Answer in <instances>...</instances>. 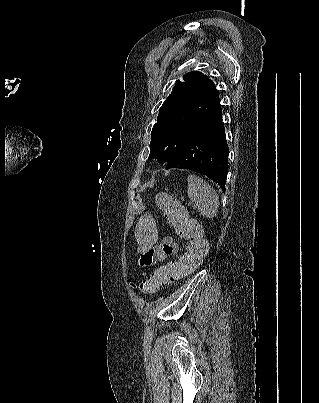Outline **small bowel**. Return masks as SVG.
<instances>
[{
	"mask_svg": "<svg viewBox=\"0 0 319 403\" xmlns=\"http://www.w3.org/2000/svg\"><path fill=\"white\" fill-rule=\"evenodd\" d=\"M178 250V244L174 239L172 237H166L159 245H156V247H150V249H146L145 252L141 253L140 261L145 266H150L151 264H156L159 260L175 255ZM130 290L132 291L131 288Z\"/></svg>",
	"mask_w": 319,
	"mask_h": 403,
	"instance_id": "c3829d8e",
	"label": "small bowel"
}]
</instances>
